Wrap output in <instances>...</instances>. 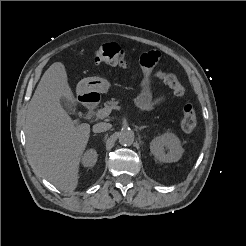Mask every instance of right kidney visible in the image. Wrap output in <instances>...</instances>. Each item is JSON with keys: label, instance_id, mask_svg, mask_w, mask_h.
I'll list each match as a JSON object with an SVG mask.
<instances>
[{"label": "right kidney", "instance_id": "obj_1", "mask_svg": "<svg viewBox=\"0 0 246 246\" xmlns=\"http://www.w3.org/2000/svg\"><path fill=\"white\" fill-rule=\"evenodd\" d=\"M97 151L95 149H88L82 156V164L84 167H93L97 162Z\"/></svg>", "mask_w": 246, "mask_h": 246}]
</instances>
